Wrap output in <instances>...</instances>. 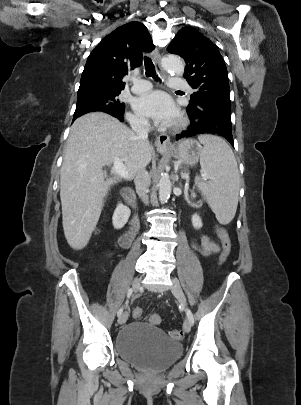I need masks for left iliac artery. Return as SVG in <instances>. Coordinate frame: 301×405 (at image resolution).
<instances>
[{"mask_svg": "<svg viewBox=\"0 0 301 405\" xmlns=\"http://www.w3.org/2000/svg\"><path fill=\"white\" fill-rule=\"evenodd\" d=\"M187 316H188V318L190 320L191 325H193L194 324V318H193V315H192L190 310H187Z\"/></svg>", "mask_w": 301, "mask_h": 405, "instance_id": "obj_1", "label": "left iliac artery"}]
</instances>
